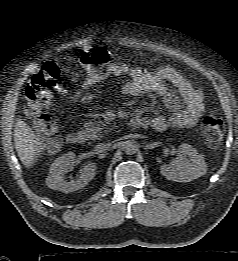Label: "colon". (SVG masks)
<instances>
[{"instance_id":"5ec220e1","label":"colon","mask_w":238,"mask_h":261,"mask_svg":"<svg viewBox=\"0 0 238 261\" xmlns=\"http://www.w3.org/2000/svg\"><path fill=\"white\" fill-rule=\"evenodd\" d=\"M111 60V53L105 47H95L81 54V63L92 75H102ZM60 68L55 62H46L31 78L25 96L27 115L33 120L35 130L43 137L49 150L60 147V136L57 124L45 110L52 95L58 87ZM225 122L213 114L206 115L201 123V131L209 148L219 146L224 133Z\"/></svg>"}]
</instances>
